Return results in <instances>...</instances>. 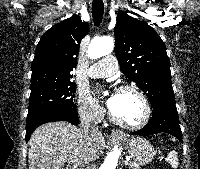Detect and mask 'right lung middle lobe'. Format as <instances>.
I'll use <instances>...</instances> for the list:
<instances>
[{"instance_id":"1","label":"right lung middle lobe","mask_w":200,"mask_h":169,"mask_svg":"<svg viewBox=\"0 0 200 169\" xmlns=\"http://www.w3.org/2000/svg\"><path fill=\"white\" fill-rule=\"evenodd\" d=\"M76 86L70 80L47 82L31 88L28 113L40 110L70 111L76 109L73 103Z\"/></svg>"}]
</instances>
